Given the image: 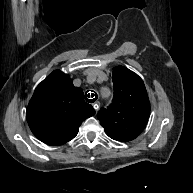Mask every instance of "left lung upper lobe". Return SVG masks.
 <instances>
[{
	"label": "left lung upper lobe",
	"instance_id": "5c2ea615",
	"mask_svg": "<svg viewBox=\"0 0 193 193\" xmlns=\"http://www.w3.org/2000/svg\"><path fill=\"white\" fill-rule=\"evenodd\" d=\"M114 96L111 106L98 112L107 135L117 141L134 140L144 130L150 103L142 79L123 66L113 68Z\"/></svg>",
	"mask_w": 193,
	"mask_h": 193
}]
</instances>
